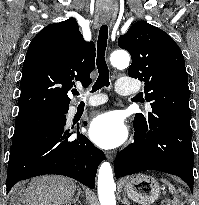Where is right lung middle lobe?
I'll use <instances>...</instances> for the list:
<instances>
[{"label": "right lung middle lobe", "instance_id": "obj_1", "mask_svg": "<svg viewBox=\"0 0 199 205\" xmlns=\"http://www.w3.org/2000/svg\"><path fill=\"white\" fill-rule=\"evenodd\" d=\"M68 108L39 111L17 116L12 141L20 139L38 129L57 126L66 121Z\"/></svg>", "mask_w": 199, "mask_h": 205}]
</instances>
